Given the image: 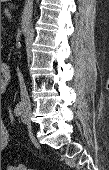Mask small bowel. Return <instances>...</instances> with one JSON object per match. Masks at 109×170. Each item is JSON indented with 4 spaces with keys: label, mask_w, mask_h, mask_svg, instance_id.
Listing matches in <instances>:
<instances>
[{
    "label": "small bowel",
    "mask_w": 109,
    "mask_h": 170,
    "mask_svg": "<svg viewBox=\"0 0 109 170\" xmlns=\"http://www.w3.org/2000/svg\"><path fill=\"white\" fill-rule=\"evenodd\" d=\"M9 142V133L4 125L1 126V148L7 146Z\"/></svg>",
    "instance_id": "c3829d8e"
}]
</instances>
